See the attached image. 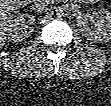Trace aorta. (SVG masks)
Returning a JSON list of instances; mask_svg holds the SVG:
<instances>
[{
	"label": "aorta",
	"instance_id": "1",
	"mask_svg": "<svg viewBox=\"0 0 111 106\" xmlns=\"http://www.w3.org/2000/svg\"><path fill=\"white\" fill-rule=\"evenodd\" d=\"M57 17H62L64 15V11L63 10H58L56 13Z\"/></svg>",
	"mask_w": 111,
	"mask_h": 106
}]
</instances>
